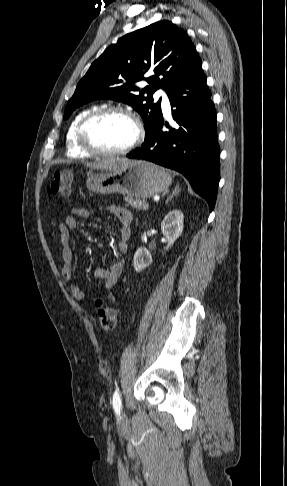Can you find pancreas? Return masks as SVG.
Wrapping results in <instances>:
<instances>
[{
  "label": "pancreas",
  "instance_id": "obj_1",
  "mask_svg": "<svg viewBox=\"0 0 287 486\" xmlns=\"http://www.w3.org/2000/svg\"><path fill=\"white\" fill-rule=\"evenodd\" d=\"M125 201H126L127 205L132 206L136 210H142L143 205L146 203L142 199H133L132 197H126Z\"/></svg>",
  "mask_w": 287,
  "mask_h": 486
}]
</instances>
